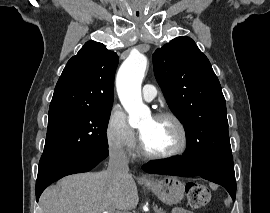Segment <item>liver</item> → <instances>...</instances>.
Returning a JSON list of instances; mask_svg holds the SVG:
<instances>
[{
	"label": "liver",
	"mask_w": 270,
	"mask_h": 213,
	"mask_svg": "<svg viewBox=\"0 0 270 213\" xmlns=\"http://www.w3.org/2000/svg\"><path fill=\"white\" fill-rule=\"evenodd\" d=\"M133 177L112 178L106 170L70 175L46 189L40 202L43 213H103L128 210L138 204Z\"/></svg>",
	"instance_id": "6515ba94"
}]
</instances>
